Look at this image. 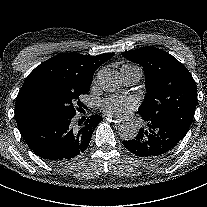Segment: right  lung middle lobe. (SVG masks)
Here are the masks:
<instances>
[{
    "mask_svg": "<svg viewBox=\"0 0 207 207\" xmlns=\"http://www.w3.org/2000/svg\"><path fill=\"white\" fill-rule=\"evenodd\" d=\"M24 105L28 113L40 122L70 119L76 115V110L86 108L79 96L46 87H36L29 91Z\"/></svg>",
    "mask_w": 207,
    "mask_h": 207,
    "instance_id": "1",
    "label": "right lung middle lobe"
}]
</instances>
